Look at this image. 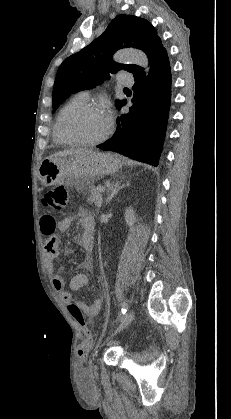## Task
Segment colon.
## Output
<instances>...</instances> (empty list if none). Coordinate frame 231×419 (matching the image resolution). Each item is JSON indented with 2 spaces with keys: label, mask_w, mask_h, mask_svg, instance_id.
I'll return each instance as SVG.
<instances>
[{
  "label": "colon",
  "mask_w": 231,
  "mask_h": 419,
  "mask_svg": "<svg viewBox=\"0 0 231 419\" xmlns=\"http://www.w3.org/2000/svg\"><path fill=\"white\" fill-rule=\"evenodd\" d=\"M68 199H69V190L67 186L65 185H58V186L50 188L44 196L45 204L50 205L55 210H59V211L67 207ZM69 310L71 311L73 316L83 325L84 319L79 309L75 305L70 304ZM83 334H84V344L82 348L85 349L92 344V335L88 329H84Z\"/></svg>",
  "instance_id": "1"
}]
</instances>
